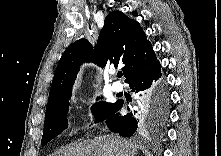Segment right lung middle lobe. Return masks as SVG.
Returning a JSON list of instances; mask_svg holds the SVG:
<instances>
[{
  "mask_svg": "<svg viewBox=\"0 0 221 156\" xmlns=\"http://www.w3.org/2000/svg\"><path fill=\"white\" fill-rule=\"evenodd\" d=\"M69 93L54 104L46 108L45 124L41 144H46L55 138L62 130L67 127V112L69 108ZM97 98L96 100H98ZM118 100L115 103L98 102L92 106V112L95 115V123L106 120L116 109Z\"/></svg>",
  "mask_w": 221,
  "mask_h": 156,
  "instance_id": "obj_1",
  "label": "right lung middle lobe"
}]
</instances>
